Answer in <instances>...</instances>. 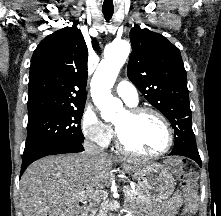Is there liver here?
<instances>
[{"instance_id": "liver-1", "label": "liver", "mask_w": 221, "mask_h": 216, "mask_svg": "<svg viewBox=\"0 0 221 216\" xmlns=\"http://www.w3.org/2000/svg\"><path fill=\"white\" fill-rule=\"evenodd\" d=\"M144 165L139 159L116 158L106 153L48 156L32 163L20 180V204L24 216H80L79 196L109 187L113 163Z\"/></svg>"}]
</instances>
